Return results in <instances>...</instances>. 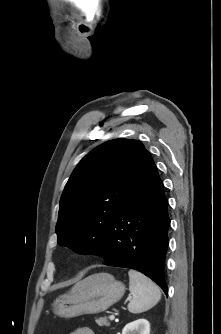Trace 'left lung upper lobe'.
<instances>
[{"label":"left lung upper lobe","instance_id":"left-lung-upper-lobe-1","mask_svg":"<svg viewBox=\"0 0 221 334\" xmlns=\"http://www.w3.org/2000/svg\"><path fill=\"white\" fill-rule=\"evenodd\" d=\"M152 164L138 140L114 139L94 148L64 188L56 225L58 244L76 253L102 255L113 219Z\"/></svg>","mask_w":221,"mask_h":334}]
</instances>
